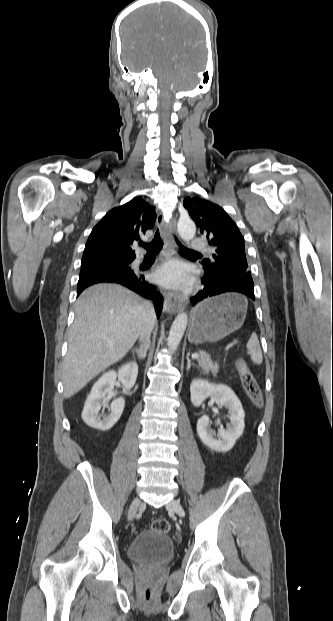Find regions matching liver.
I'll use <instances>...</instances> for the list:
<instances>
[{
	"instance_id": "1",
	"label": "liver",
	"mask_w": 333,
	"mask_h": 621,
	"mask_svg": "<svg viewBox=\"0 0 333 621\" xmlns=\"http://www.w3.org/2000/svg\"><path fill=\"white\" fill-rule=\"evenodd\" d=\"M155 322L147 302L122 286L97 284L84 290L75 304L62 364L64 397L123 358L140 332Z\"/></svg>"
}]
</instances>
